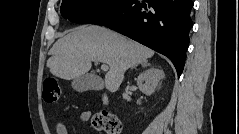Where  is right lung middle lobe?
Here are the masks:
<instances>
[{"instance_id":"dd1d6c3e","label":"right lung middle lobe","mask_w":239,"mask_h":134,"mask_svg":"<svg viewBox=\"0 0 239 134\" xmlns=\"http://www.w3.org/2000/svg\"><path fill=\"white\" fill-rule=\"evenodd\" d=\"M119 2L120 0H62L60 12L71 22L87 23Z\"/></svg>"}]
</instances>
